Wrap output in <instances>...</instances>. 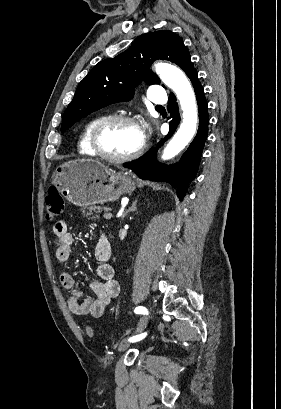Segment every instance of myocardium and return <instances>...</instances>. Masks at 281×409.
<instances>
[{
  "instance_id": "f54148a6",
  "label": "myocardium",
  "mask_w": 281,
  "mask_h": 409,
  "mask_svg": "<svg viewBox=\"0 0 281 409\" xmlns=\"http://www.w3.org/2000/svg\"><path fill=\"white\" fill-rule=\"evenodd\" d=\"M114 123H126L132 125L141 133L142 140L139 147L135 151L123 156H111L103 150L101 144L102 134L108 126ZM93 146L99 157L112 163H124L132 161L143 154L146 147V136L144 129L138 120L126 115H110L103 118L96 125L93 133Z\"/></svg>"
}]
</instances>
